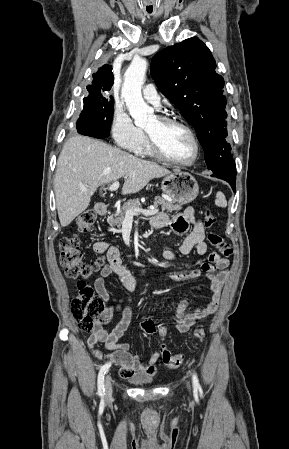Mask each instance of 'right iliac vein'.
I'll return each instance as SVG.
<instances>
[{"mask_svg": "<svg viewBox=\"0 0 289 449\" xmlns=\"http://www.w3.org/2000/svg\"><path fill=\"white\" fill-rule=\"evenodd\" d=\"M112 397V384L110 376H107L105 382V400L108 401Z\"/></svg>", "mask_w": 289, "mask_h": 449, "instance_id": "63e3f726", "label": "right iliac vein"}]
</instances>
